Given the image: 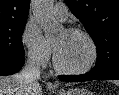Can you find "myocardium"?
I'll use <instances>...</instances> for the list:
<instances>
[{
	"label": "myocardium",
	"mask_w": 119,
	"mask_h": 95,
	"mask_svg": "<svg viewBox=\"0 0 119 95\" xmlns=\"http://www.w3.org/2000/svg\"><path fill=\"white\" fill-rule=\"evenodd\" d=\"M66 32H68L70 34L81 35L88 41V43L91 47V58H90L89 62L84 67L78 68V69H70V68H66V67L62 66L59 63L57 56H56V52L54 51V55H53L54 68L58 72L67 74V75H83V74L90 72L96 65V63L98 61V57H99V49H98L96 41L87 31H85L81 28H69L66 30Z\"/></svg>",
	"instance_id": "f54148a6"
}]
</instances>
